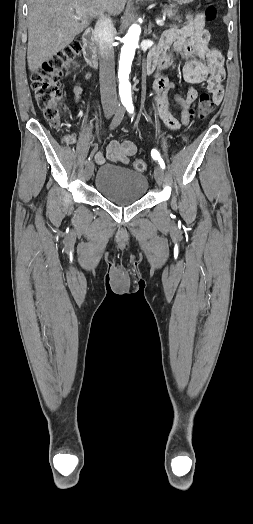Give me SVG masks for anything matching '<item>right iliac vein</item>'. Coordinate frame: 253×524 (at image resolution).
<instances>
[{
	"mask_svg": "<svg viewBox=\"0 0 253 524\" xmlns=\"http://www.w3.org/2000/svg\"><path fill=\"white\" fill-rule=\"evenodd\" d=\"M113 114H114V109L108 108L105 110V116L107 118H110ZM93 171H94V163L90 161L89 163H87L85 170H84V175H85L86 180H90V178L93 175Z\"/></svg>",
	"mask_w": 253,
	"mask_h": 524,
	"instance_id": "1",
	"label": "right iliac vein"
}]
</instances>
